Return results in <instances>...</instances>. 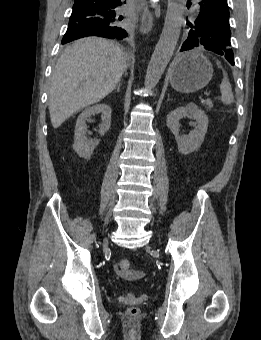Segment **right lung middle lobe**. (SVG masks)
Returning <instances> with one entry per match:
<instances>
[{
    "instance_id": "obj_1",
    "label": "right lung middle lobe",
    "mask_w": 261,
    "mask_h": 340,
    "mask_svg": "<svg viewBox=\"0 0 261 340\" xmlns=\"http://www.w3.org/2000/svg\"><path fill=\"white\" fill-rule=\"evenodd\" d=\"M117 27L119 28V32L127 35L126 31L123 29V23L118 22ZM79 38H82V37H81V35H78V34H72L71 36H65L64 35V37L62 39V44L71 42V41L79 39Z\"/></svg>"
}]
</instances>
